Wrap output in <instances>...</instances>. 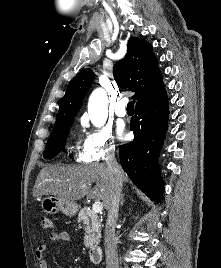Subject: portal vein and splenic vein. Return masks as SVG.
<instances>
[{
  "mask_svg": "<svg viewBox=\"0 0 221 268\" xmlns=\"http://www.w3.org/2000/svg\"><path fill=\"white\" fill-rule=\"evenodd\" d=\"M102 210H103V204H102V202H100V201H95L94 204H93V206H92V211H93L94 213H99V212H101Z\"/></svg>",
  "mask_w": 221,
  "mask_h": 268,
  "instance_id": "18ae733b",
  "label": "portal vein and splenic vein"
}]
</instances>
